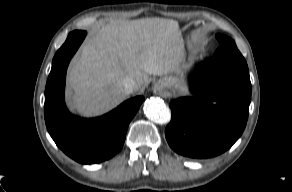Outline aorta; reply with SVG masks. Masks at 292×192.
I'll return each mask as SVG.
<instances>
[{
    "label": "aorta",
    "mask_w": 292,
    "mask_h": 192,
    "mask_svg": "<svg viewBox=\"0 0 292 192\" xmlns=\"http://www.w3.org/2000/svg\"><path fill=\"white\" fill-rule=\"evenodd\" d=\"M143 110L147 117L156 123H167L170 120V113L164 101L160 98L152 97L144 102Z\"/></svg>",
    "instance_id": "aorta-1"
}]
</instances>
